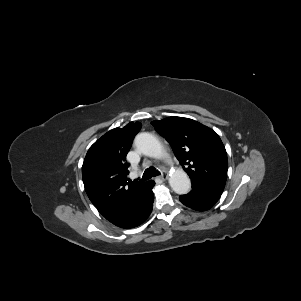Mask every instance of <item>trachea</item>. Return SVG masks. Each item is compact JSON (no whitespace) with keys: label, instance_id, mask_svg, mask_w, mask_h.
<instances>
[{"label":"trachea","instance_id":"trachea-1","mask_svg":"<svg viewBox=\"0 0 301 301\" xmlns=\"http://www.w3.org/2000/svg\"><path fill=\"white\" fill-rule=\"evenodd\" d=\"M158 175H160V172L158 170H156L154 167H149L145 170L141 180L145 181Z\"/></svg>","mask_w":301,"mask_h":301}]
</instances>
